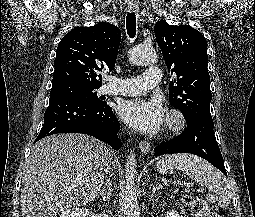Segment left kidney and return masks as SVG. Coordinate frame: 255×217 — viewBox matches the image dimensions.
<instances>
[{
    "mask_svg": "<svg viewBox=\"0 0 255 217\" xmlns=\"http://www.w3.org/2000/svg\"><path fill=\"white\" fill-rule=\"evenodd\" d=\"M183 212H184V210L181 209V213H183ZM166 217H184V216H182V215L180 216L176 210H170V211H167Z\"/></svg>",
    "mask_w": 255,
    "mask_h": 217,
    "instance_id": "5707ae66",
    "label": "left kidney"
}]
</instances>
